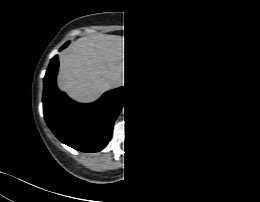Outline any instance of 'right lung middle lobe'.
I'll list each match as a JSON object with an SVG mask.
<instances>
[{
    "instance_id": "right-lung-middle-lobe-1",
    "label": "right lung middle lobe",
    "mask_w": 260,
    "mask_h": 202,
    "mask_svg": "<svg viewBox=\"0 0 260 202\" xmlns=\"http://www.w3.org/2000/svg\"><path fill=\"white\" fill-rule=\"evenodd\" d=\"M69 44V42H67L65 45H64V48Z\"/></svg>"
}]
</instances>
